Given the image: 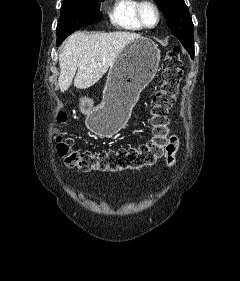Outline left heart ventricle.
Returning a JSON list of instances; mask_svg holds the SVG:
<instances>
[{"label": "left heart ventricle", "instance_id": "1", "mask_svg": "<svg viewBox=\"0 0 240 281\" xmlns=\"http://www.w3.org/2000/svg\"><path fill=\"white\" fill-rule=\"evenodd\" d=\"M143 17L145 22L149 25H153L156 22V13L151 6L144 7Z\"/></svg>", "mask_w": 240, "mask_h": 281}]
</instances>
